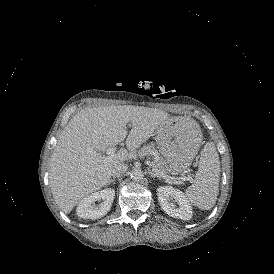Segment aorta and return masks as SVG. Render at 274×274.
<instances>
[{
    "label": "aorta",
    "mask_w": 274,
    "mask_h": 274,
    "mask_svg": "<svg viewBox=\"0 0 274 274\" xmlns=\"http://www.w3.org/2000/svg\"><path fill=\"white\" fill-rule=\"evenodd\" d=\"M130 176L133 180L139 181V180L143 179L144 174L141 171V169H136L135 168L131 171Z\"/></svg>",
    "instance_id": "aorta-1"
}]
</instances>
